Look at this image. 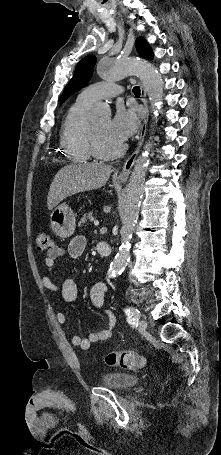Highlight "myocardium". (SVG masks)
Masks as SVG:
<instances>
[{"label": "myocardium", "mask_w": 221, "mask_h": 455, "mask_svg": "<svg viewBox=\"0 0 221 455\" xmlns=\"http://www.w3.org/2000/svg\"><path fill=\"white\" fill-rule=\"evenodd\" d=\"M89 146L93 156L99 159L116 158L123 154L127 148V145L124 142H122L113 150L110 151L103 150L99 144L98 135L93 124H91L89 127Z\"/></svg>", "instance_id": "myocardium-1"}]
</instances>
